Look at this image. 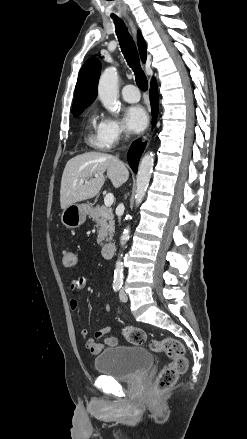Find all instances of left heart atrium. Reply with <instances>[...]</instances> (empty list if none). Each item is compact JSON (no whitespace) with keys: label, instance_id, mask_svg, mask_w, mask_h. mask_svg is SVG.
Segmentation results:
<instances>
[{"label":"left heart atrium","instance_id":"obj_1","mask_svg":"<svg viewBox=\"0 0 247 439\" xmlns=\"http://www.w3.org/2000/svg\"><path fill=\"white\" fill-rule=\"evenodd\" d=\"M148 122L147 114L141 106H131L125 111V123L132 132L142 131Z\"/></svg>","mask_w":247,"mask_h":439}]
</instances>
